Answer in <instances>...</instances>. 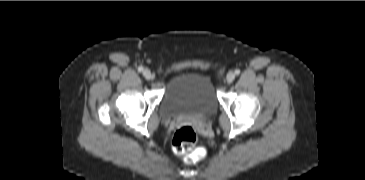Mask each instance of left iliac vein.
Instances as JSON below:
<instances>
[{"label": "left iliac vein", "mask_w": 365, "mask_h": 180, "mask_svg": "<svg viewBox=\"0 0 365 180\" xmlns=\"http://www.w3.org/2000/svg\"><path fill=\"white\" fill-rule=\"evenodd\" d=\"M234 79H235V73L230 71L226 76V80L228 83H232Z\"/></svg>", "instance_id": "obj_1"}]
</instances>
